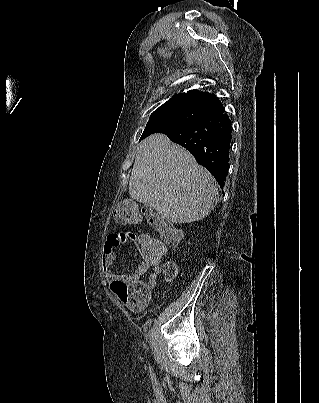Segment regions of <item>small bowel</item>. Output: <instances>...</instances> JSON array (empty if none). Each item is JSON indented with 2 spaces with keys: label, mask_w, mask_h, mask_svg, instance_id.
<instances>
[{
  "label": "small bowel",
  "mask_w": 319,
  "mask_h": 403,
  "mask_svg": "<svg viewBox=\"0 0 319 403\" xmlns=\"http://www.w3.org/2000/svg\"><path fill=\"white\" fill-rule=\"evenodd\" d=\"M105 250L103 255V272L109 289L123 309H147V300H152V286L148 279H141L150 269V278H156L160 271V260L150 259L146 254L141 258L135 272L120 274L114 272L117 261L115 249H138L139 242L133 229H110L106 231ZM166 253V252H165Z\"/></svg>",
  "instance_id": "obj_1"
}]
</instances>
